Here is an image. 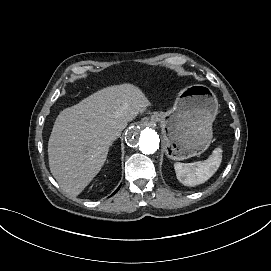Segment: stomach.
<instances>
[{
	"label": "stomach",
	"instance_id": "obj_1",
	"mask_svg": "<svg viewBox=\"0 0 271 271\" xmlns=\"http://www.w3.org/2000/svg\"><path fill=\"white\" fill-rule=\"evenodd\" d=\"M218 112L213 91L205 85H193L178 93L170 110L154 112L150 121L161 126L162 149L167 157L184 160L210 146L212 123Z\"/></svg>",
	"mask_w": 271,
	"mask_h": 271
}]
</instances>
